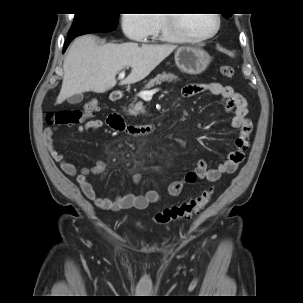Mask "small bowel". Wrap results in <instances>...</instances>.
Listing matches in <instances>:
<instances>
[{"mask_svg": "<svg viewBox=\"0 0 303 303\" xmlns=\"http://www.w3.org/2000/svg\"><path fill=\"white\" fill-rule=\"evenodd\" d=\"M202 92H209L212 95L221 97L228 110H235L232 126L239 130L238 136L235 139L236 149L231 151L228 154L227 159L219 163L215 168H208L207 162L203 159L198 160L195 167L186 172L182 179L173 181L168 185L167 195L170 197L179 196L185 185L193 184L197 180L206 179L209 182H217L222 175L233 174L243 161L244 152L249 145V137L253 126L251 121L245 117L246 101L242 95L236 93L231 86H223L220 83H191L182 88V95L185 98ZM108 125L116 130L114 122H110ZM106 126L107 124L103 120L91 119L85 124L79 125L77 131L84 133L95 130H104ZM56 131V128H45L44 130V139L47 150L63 172L67 175L76 177L77 183L84 195L93 201L99 208L110 211H120L131 208L146 209L150 204L157 203L160 200V194L154 190H149L144 195L127 194L118 196L115 199L100 197L89 181L88 175L103 173L107 167L105 161L98 160L91 165H83L80 168H77L58 152L52 140V136ZM141 179L142 177L140 174H135L132 178L135 185H138L141 182Z\"/></svg>", "mask_w": 303, "mask_h": 303, "instance_id": "c3829d8e", "label": "small bowel"}]
</instances>
